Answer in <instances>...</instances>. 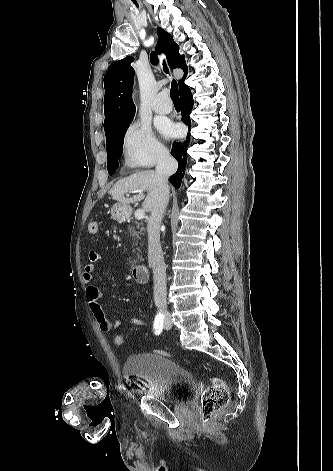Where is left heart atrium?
<instances>
[{
    "mask_svg": "<svg viewBox=\"0 0 333 471\" xmlns=\"http://www.w3.org/2000/svg\"><path fill=\"white\" fill-rule=\"evenodd\" d=\"M161 131L164 135L166 136H172V135H175L176 132H177V129L174 125L170 124V123H164L162 126H161Z\"/></svg>",
    "mask_w": 333,
    "mask_h": 471,
    "instance_id": "left-heart-atrium-1",
    "label": "left heart atrium"
}]
</instances>
